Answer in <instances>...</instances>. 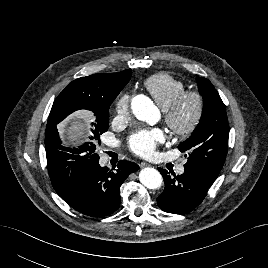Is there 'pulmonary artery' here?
<instances>
[{
	"mask_svg": "<svg viewBox=\"0 0 268 268\" xmlns=\"http://www.w3.org/2000/svg\"><path fill=\"white\" fill-rule=\"evenodd\" d=\"M175 170L178 174H183L185 171V167L183 164H179L176 166Z\"/></svg>",
	"mask_w": 268,
	"mask_h": 268,
	"instance_id": "pulmonary-artery-1",
	"label": "pulmonary artery"
}]
</instances>
